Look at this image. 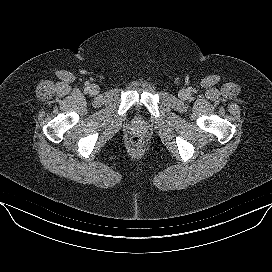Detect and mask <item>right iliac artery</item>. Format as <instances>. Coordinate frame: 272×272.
I'll list each match as a JSON object with an SVG mask.
<instances>
[{"label": "right iliac artery", "mask_w": 272, "mask_h": 272, "mask_svg": "<svg viewBox=\"0 0 272 272\" xmlns=\"http://www.w3.org/2000/svg\"><path fill=\"white\" fill-rule=\"evenodd\" d=\"M85 85H86V86H89V83H86Z\"/></svg>", "instance_id": "obj_1"}]
</instances>
